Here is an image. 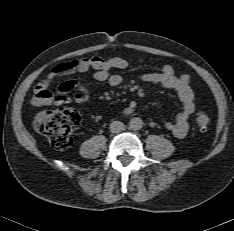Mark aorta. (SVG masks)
Wrapping results in <instances>:
<instances>
[{"instance_id": "obj_1", "label": "aorta", "mask_w": 234, "mask_h": 231, "mask_svg": "<svg viewBox=\"0 0 234 231\" xmlns=\"http://www.w3.org/2000/svg\"><path fill=\"white\" fill-rule=\"evenodd\" d=\"M143 127V121L139 117H134L129 121V128L132 130H140Z\"/></svg>"}]
</instances>
